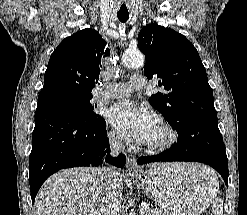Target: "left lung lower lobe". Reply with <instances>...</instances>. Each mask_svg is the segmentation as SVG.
<instances>
[{
  "instance_id": "1",
  "label": "left lung lower lobe",
  "mask_w": 247,
  "mask_h": 215,
  "mask_svg": "<svg viewBox=\"0 0 247 215\" xmlns=\"http://www.w3.org/2000/svg\"><path fill=\"white\" fill-rule=\"evenodd\" d=\"M186 161L208 164L217 170L228 186V159L218 124L202 123L178 132L177 143L155 156L140 157L137 164Z\"/></svg>"
}]
</instances>
